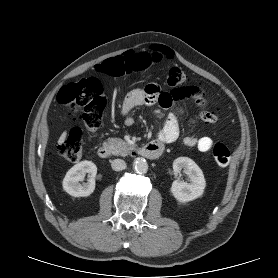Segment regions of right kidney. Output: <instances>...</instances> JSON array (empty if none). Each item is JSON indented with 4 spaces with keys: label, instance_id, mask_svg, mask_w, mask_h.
Listing matches in <instances>:
<instances>
[{
    "label": "right kidney",
    "instance_id": "right-kidney-1",
    "mask_svg": "<svg viewBox=\"0 0 278 278\" xmlns=\"http://www.w3.org/2000/svg\"><path fill=\"white\" fill-rule=\"evenodd\" d=\"M88 174V182L80 184ZM97 167L91 161H82L68 170L63 179V189L74 197H87L95 190Z\"/></svg>",
    "mask_w": 278,
    "mask_h": 278
}]
</instances>
